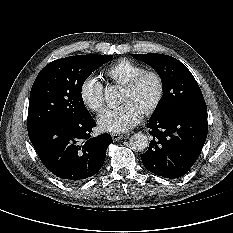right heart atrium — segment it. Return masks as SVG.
Listing matches in <instances>:
<instances>
[{"label":"right heart atrium","mask_w":233,"mask_h":233,"mask_svg":"<svg viewBox=\"0 0 233 233\" xmlns=\"http://www.w3.org/2000/svg\"><path fill=\"white\" fill-rule=\"evenodd\" d=\"M80 96L88 109L96 113L104 111V85L97 76H89L81 83Z\"/></svg>","instance_id":"obj_1"}]
</instances>
